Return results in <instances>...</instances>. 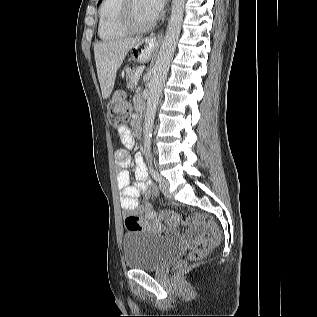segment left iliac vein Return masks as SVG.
<instances>
[{"instance_id": "1", "label": "left iliac vein", "mask_w": 317, "mask_h": 317, "mask_svg": "<svg viewBox=\"0 0 317 317\" xmlns=\"http://www.w3.org/2000/svg\"><path fill=\"white\" fill-rule=\"evenodd\" d=\"M160 190L164 194V196L168 198L171 197V194L169 191V184H168V181H166L165 179H162L160 181Z\"/></svg>"}]
</instances>
